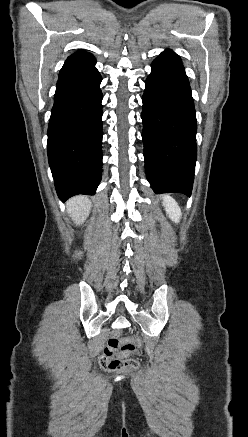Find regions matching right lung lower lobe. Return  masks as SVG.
<instances>
[{
  "mask_svg": "<svg viewBox=\"0 0 248 437\" xmlns=\"http://www.w3.org/2000/svg\"><path fill=\"white\" fill-rule=\"evenodd\" d=\"M91 55L68 57L48 125V160L62 201L94 194L102 173L101 75Z\"/></svg>",
  "mask_w": 248,
  "mask_h": 437,
  "instance_id": "obj_1",
  "label": "right lung lower lobe"
}]
</instances>
